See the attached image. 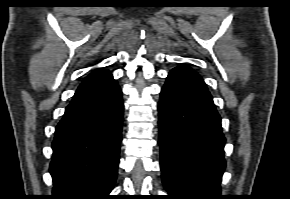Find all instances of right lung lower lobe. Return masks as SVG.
<instances>
[{"mask_svg":"<svg viewBox=\"0 0 290 199\" xmlns=\"http://www.w3.org/2000/svg\"><path fill=\"white\" fill-rule=\"evenodd\" d=\"M122 118V92L115 80L75 93L52 144L51 199H110Z\"/></svg>","mask_w":290,"mask_h":199,"instance_id":"1","label":"right lung lower lobe"}]
</instances>
